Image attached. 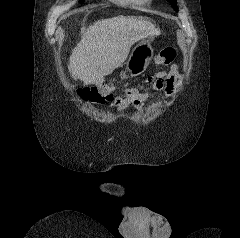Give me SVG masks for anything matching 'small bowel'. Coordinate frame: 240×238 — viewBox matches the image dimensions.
<instances>
[{
  "label": "small bowel",
  "instance_id": "1",
  "mask_svg": "<svg viewBox=\"0 0 240 238\" xmlns=\"http://www.w3.org/2000/svg\"><path fill=\"white\" fill-rule=\"evenodd\" d=\"M179 81L180 74L178 66L174 64L168 72H158L147 78L143 87L127 88L122 96L114 99L113 107L118 111H123L130 106L142 110L149 97L150 90L164 91L167 96H170L175 91Z\"/></svg>",
  "mask_w": 240,
  "mask_h": 238
}]
</instances>
